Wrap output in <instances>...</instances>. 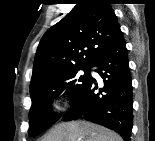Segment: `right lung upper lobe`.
Here are the masks:
<instances>
[{"label":"right lung upper lobe","mask_w":155,"mask_h":141,"mask_svg":"<svg viewBox=\"0 0 155 141\" xmlns=\"http://www.w3.org/2000/svg\"><path fill=\"white\" fill-rule=\"evenodd\" d=\"M119 33L120 26L108 0H80L43 35L30 88L46 78L92 67Z\"/></svg>","instance_id":"cb5924a9"}]
</instances>
